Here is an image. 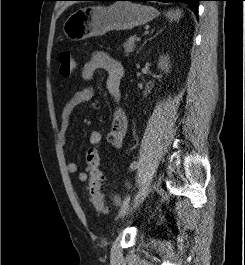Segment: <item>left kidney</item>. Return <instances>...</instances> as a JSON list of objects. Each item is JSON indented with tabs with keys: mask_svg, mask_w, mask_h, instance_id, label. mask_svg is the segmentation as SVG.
Here are the masks:
<instances>
[{
	"mask_svg": "<svg viewBox=\"0 0 245 265\" xmlns=\"http://www.w3.org/2000/svg\"><path fill=\"white\" fill-rule=\"evenodd\" d=\"M169 57L168 56H161L159 58V63L158 67L164 71V72H169L170 64H169Z\"/></svg>",
	"mask_w": 245,
	"mask_h": 265,
	"instance_id": "5707ae66",
	"label": "left kidney"
}]
</instances>
